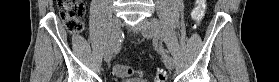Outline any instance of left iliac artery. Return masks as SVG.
Segmentation results:
<instances>
[{
	"instance_id": "44dca946",
	"label": "left iliac artery",
	"mask_w": 279,
	"mask_h": 82,
	"mask_svg": "<svg viewBox=\"0 0 279 82\" xmlns=\"http://www.w3.org/2000/svg\"><path fill=\"white\" fill-rule=\"evenodd\" d=\"M153 24L156 26L157 29V36L160 38L161 42L164 40V35L160 29L159 21L156 18L152 19Z\"/></svg>"
}]
</instances>
